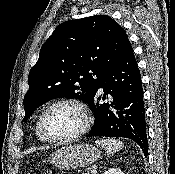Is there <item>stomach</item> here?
I'll use <instances>...</instances> for the list:
<instances>
[{
	"mask_svg": "<svg viewBox=\"0 0 175 174\" xmlns=\"http://www.w3.org/2000/svg\"><path fill=\"white\" fill-rule=\"evenodd\" d=\"M100 157V151L89 144L62 147L50 154L49 161L59 169L86 167Z\"/></svg>",
	"mask_w": 175,
	"mask_h": 174,
	"instance_id": "0dacf381",
	"label": "stomach"
}]
</instances>
